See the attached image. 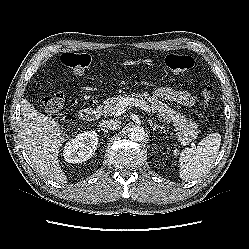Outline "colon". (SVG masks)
Masks as SVG:
<instances>
[{"instance_id": "1", "label": "colon", "mask_w": 249, "mask_h": 249, "mask_svg": "<svg viewBox=\"0 0 249 249\" xmlns=\"http://www.w3.org/2000/svg\"><path fill=\"white\" fill-rule=\"evenodd\" d=\"M61 62L70 68L74 74L83 75L92 68V59L87 53L66 52L61 55ZM194 66V59L188 55L170 54L165 59V67L172 74H182ZM213 87L207 85L201 90L204 104H209L212 98ZM42 108L51 116L60 115L64 106L63 94L57 93L41 100Z\"/></svg>"}]
</instances>
